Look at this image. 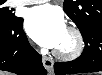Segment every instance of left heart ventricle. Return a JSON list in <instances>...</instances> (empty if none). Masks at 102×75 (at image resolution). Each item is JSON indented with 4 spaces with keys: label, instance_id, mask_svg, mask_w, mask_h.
I'll return each mask as SVG.
<instances>
[{
    "label": "left heart ventricle",
    "instance_id": "obj_1",
    "mask_svg": "<svg viewBox=\"0 0 102 75\" xmlns=\"http://www.w3.org/2000/svg\"><path fill=\"white\" fill-rule=\"evenodd\" d=\"M74 45V38L66 31L61 43L58 45L56 49L67 52L72 50Z\"/></svg>",
    "mask_w": 102,
    "mask_h": 75
}]
</instances>
